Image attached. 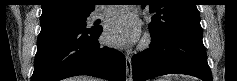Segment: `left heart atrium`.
Wrapping results in <instances>:
<instances>
[{
	"instance_id": "1",
	"label": "left heart atrium",
	"mask_w": 237,
	"mask_h": 81,
	"mask_svg": "<svg viewBox=\"0 0 237 81\" xmlns=\"http://www.w3.org/2000/svg\"><path fill=\"white\" fill-rule=\"evenodd\" d=\"M140 36V24L132 15L122 14L107 23L105 38L112 45L131 46L139 41Z\"/></svg>"
}]
</instances>
